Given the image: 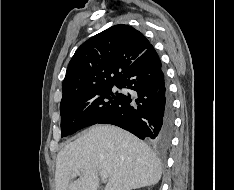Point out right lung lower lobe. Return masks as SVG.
Here are the masks:
<instances>
[{"label": "right lung lower lobe", "mask_w": 234, "mask_h": 190, "mask_svg": "<svg viewBox=\"0 0 234 190\" xmlns=\"http://www.w3.org/2000/svg\"><path fill=\"white\" fill-rule=\"evenodd\" d=\"M117 85L135 91V95L120 93L116 106L98 123L117 125L140 139L168 146L173 111L161 61L153 46L126 68Z\"/></svg>", "instance_id": "1"}]
</instances>
